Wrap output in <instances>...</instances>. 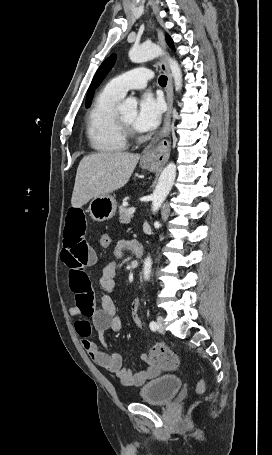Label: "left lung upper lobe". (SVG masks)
<instances>
[{
	"instance_id": "obj_1",
	"label": "left lung upper lobe",
	"mask_w": 272,
	"mask_h": 455,
	"mask_svg": "<svg viewBox=\"0 0 272 455\" xmlns=\"http://www.w3.org/2000/svg\"><path fill=\"white\" fill-rule=\"evenodd\" d=\"M166 40H167L168 45L171 48H174L173 41L168 35L166 36ZM115 60H116V55L112 54L98 68V70H97V72H96V74H95V76H94V78H93V80L91 82V85H90V87H89V89L87 91L86 107H89L91 105V101H92V98H93V94H94L95 88H97L100 85L102 80L108 74V72L110 71V69L112 68V66L115 63Z\"/></svg>"
}]
</instances>
